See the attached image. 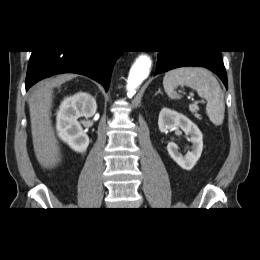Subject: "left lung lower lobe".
I'll list each match as a JSON object with an SVG mask.
<instances>
[{"mask_svg":"<svg viewBox=\"0 0 260 260\" xmlns=\"http://www.w3.org/2000/svg\"><path fill=\"white\" fill-rule=\"evenodd\" d=\"M185 66L205 67L211 70L223 81L226 89H228L226 70L219 50L173 51V53L169 54H160L158 55L154 76Z\"/></svg>","mask_w":260,"mask_h":260,"instance_id":"obj_1","label":"left lung lower lobe"}]
</instances>
